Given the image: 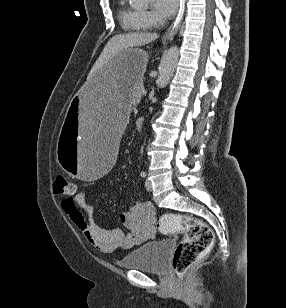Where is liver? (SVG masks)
<instances>
[{"mask_svg":"<svg viewBox=\"0 0 286 308\" xmlns=\"http://www.w3.org/2000/svg\"><path fill=\"white\" fill-rule=\"evenodd\" d=\"M158 38L156 33H141L133 32L127 34H119L113 36L106 46L104 47L101 55L93 65L87 80H90L94 74L100 69L107 61H109L114 55L122 50L144 46Z\"/></svg>","mask_w":286,"mask_h":308,"instance_id":"liver-1","label":"liver"}]
</instances>
